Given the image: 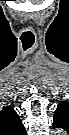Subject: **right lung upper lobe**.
<instances>
[{
  "mask_svg": "<svg viewBox=\"0 0 69 135\" xmlns=\"http://www.w3.org/2000/svg\"><path fill=\"white\" fill-rule=\"evenodd\" d=\"M5 120L2 122V135H25L24 126L12 107H6L2 111Z\"/></svg>",
  "mask_w": 69,
  "mask_h": 135,
  "instance_id": "obj_1",
  "label": "right lung upper lobe"
}]
</instances>
